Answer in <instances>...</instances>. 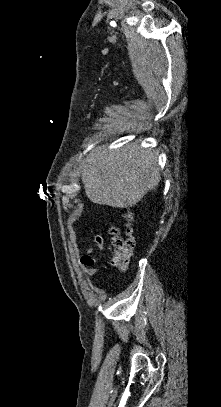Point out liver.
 Instances as JSON below:
<instances>
[{"mask_svg": "<svg viewBox=\"0 0 221 407\" xmlns=\"http://www.w3.org/2000/svg\"><path fill=\"white\" fill-rule=\"evenodd\" d=\"M81 178L91 202L132 207L161 180L158 154L137 141L109 151L98 150L83 162Z\"/></svg>", "mask_w": 221, "mask_h": 407, "instance_id": "6515ba94", "label": "liver"}]
</instances>
